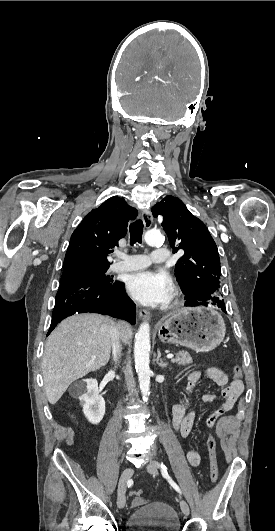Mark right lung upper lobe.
<instances>
[{
    "label": "right lung upper lobe",
    "instance_id": "right-lung-upper-lobe-1",
    "mask_svg": "<svg viewBox=\"0 0 275 531\" xmlns=\"http://www.w3.org/2000/svg\"><path fill=\"white\" fill-rule=\"evenodd\" d=\"M138 211L121 197H111L84 217L74 230L65 255L64 270L74 267L110 266L107 255L127 233Z\"/></svg>",
    "mask_w": 275,
    "mask_h": 531
}]
</instances>
